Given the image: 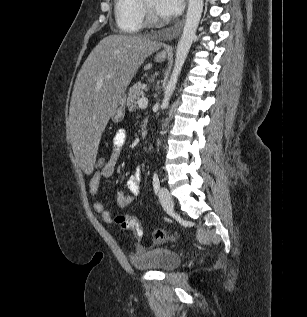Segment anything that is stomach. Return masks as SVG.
I'll list each match as a JSON object with an SVG mask.
<instances>
[{"instance_id": "1", "label": "stomach", "mask_w": 307, "mask_h": 317, "mask_svg": "<svg viewBox=\"0 0 307 317\" xmlns=\"http://www.w3.org/2000/svg\"><path fill=\"white\" fill-rule=\"evenodd\" d=\"M166 58L167 56L164 54H157L155 60L157 62H163L166 60ZM125 100L126 97L124 95L120 99H118L116 109L111 116L113 121L120 122L123 120L125 114Z\"/></svg>"}]
</instances>
